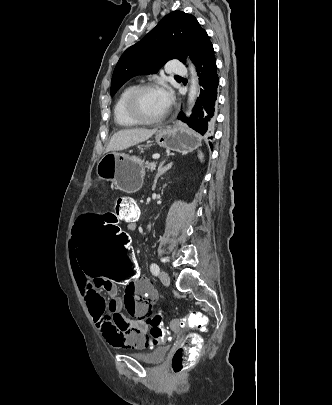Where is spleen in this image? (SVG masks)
Listing matches in <instances>:
<instances>
[{
  "label": "spleen",
  "mask_w": 332,
  "mask_h": 405,
  "mask_svg": "<svg viewBox=\"0 0 332 405\" xmlns=\"http://www.w3.org/2000/svg\"><path fill=\"white\" fill-rule=\"evenodd\" d=\"M198 157H199L200 161L202 162V161H203V154H202V152H199Z\"/></svg>",
  "instance_id": "spleen-1"
}]
</instances>
